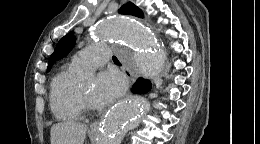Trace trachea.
<instances>
[{
  "mask_svg": "<svg viewBox=\"0 0 260 144\" xmlns=\"http://www.w3.org/2000/svg\"><path fill=\"white\" fill-rule=\"evenodd\" d=\"M112 59L115 63H120L116 56H113Z\"/></svg>",
  "mask_w": 260,
  "mask_h": 144,
  "instance_id": "1",
  "label": "trachea"
}]
</instances>
